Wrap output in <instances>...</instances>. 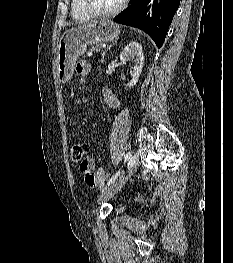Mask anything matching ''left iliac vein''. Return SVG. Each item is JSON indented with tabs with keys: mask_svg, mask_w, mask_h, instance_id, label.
I'll return each mask as SVG.
<instances>
[{
	"mask_svg": "<svg viewBox=\"0 0 233 263\" xmlns=\"http://www.w3.org/2000/svg\"><path fill=\"white\" fill-rule=\"evenodd\" d=\"M138 166H139V159L138 156L134 154L130 159V169L127 172V175L122 179H120L118 182L111 185L105 191H103L98 199V203L101 204L107 201L108 199H110L114 194H116L127 182V180L137 171Z\"/></svg>",
	"mask_w": 233,
	"mask_h": 263,
	"instance_id": "4c4485c4",
	"label": "left iliac vein"
}]
</instances>
